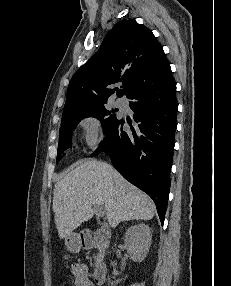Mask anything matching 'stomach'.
I'll return each mask as SVG.
<instances>
[{
    "label": "stomach",
    "instance_id": "1",
    "mask_svg": "<svg viewBox=\"0 0 231 286\" xmlns=\"http://www.w3.org/2000/svg\"><path fill=\"white\" fill-rule=\"evenodd\" d=\"M65 245L70 252H78L81 248L79 236L77 234H71L66 238Z\"/></svg>",
    "mask_w": 231,
    "mask_h": 286
}]
</instances>
